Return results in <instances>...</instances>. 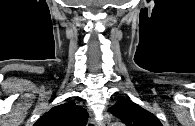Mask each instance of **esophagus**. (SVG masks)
Wrapping results in <instances>:
<instances>
[{
    "mask_svg": "<svg viewBox=\"0 0 195 126\" xmlns=\"http://www.w3.org/2000/svg\"><path fill=\"white\" fill-rule=\"evenodd\" d=\"M110 121H111L110 116L107 113H105L104 119H103L102 123H100L99 125L100 126H110Z\"/></svg>",
    "mask_w": 195,
    "mask_h": 126,
    "instance_id": "esophagus-1",
    "label": "esophagus"
}]
</instances>
